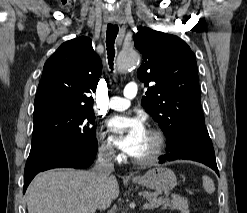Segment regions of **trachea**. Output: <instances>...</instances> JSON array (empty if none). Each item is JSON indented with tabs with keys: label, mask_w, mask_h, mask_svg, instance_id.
<instances>
[{
	"label": "trachea",
	"mask_w": 247,
	"mask_h": 213,
	"mask_svg": "<svg viewBox=\"0 0 247 213\" xmlns=\"http://www.w3.org/2000/svg\"><path fill=\"white\" fill-rule=\"evenodd\" d=\"M117 34H118V26L108 24L107 32H106V46H107L108 62L111 69H113V60L115 56L114 42Z\"/></svg>",
	"instance_id": "obj_1"
}]
</instances>
